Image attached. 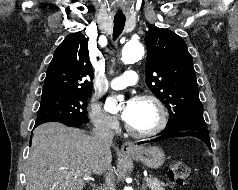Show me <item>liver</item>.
Returning a JSON list of instances; mask_svg holds the SVG:
<instances>
[{
	"label": "liver",
	"mask_w": 238,
	"mask_h": 190,
	"mask_svg": "<svg viewBox=\"0 0 238 190\" xmlns=\"http://www.w3.org/2000/svg\"><path fill=\"white\" fill-rule=\"evenodd\" d=\"M110 149L100 152L93 136L58 122L33 132L27 160L26 190H82L84 178L110 168Z\"/></svg>",
	"instance_id": "1"
}]
</instances>
